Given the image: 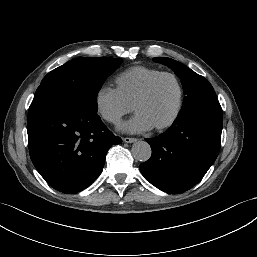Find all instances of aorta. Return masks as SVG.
Segmentation results:
<instances>
[{"label": "aorta", "instance_id": "obj_1", "mask_svg": "<svg viewBox=\"0 0 257 257\" xmlns=\"http://www.w3.org/2000/svg\"><path fill=\"white\" fill-rule=\"evenodd\" d=\"M132 153L135 159L145 162L151 157V147L146 141H138L132 146Z\"/></svg>", "mask_w": 257, "mask_h": 257}]
</instances>
